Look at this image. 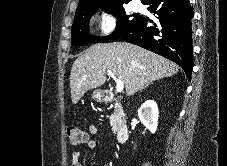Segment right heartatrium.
Here are the masks:
<instances>
[{"instance_id": "1", "label": "right heart atrium", "mask_w": 227, "mask_h": 166, "mask_svg": "<svg viewBox=\"0 0 227 166\" xmlns=\"http://www.w3.org/2000/svg\"><path fill=\"white\" fill-rule=\"evenodd\" d=\"M97 30L101 36L112 35L117 27V21L113 14L107 11H101L95 16Z\"/></svg>"}]
</instances>
